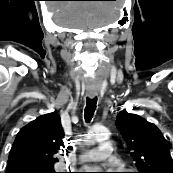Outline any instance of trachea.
Masks as SVG:
<instances>
[{
	"label": "trachea",
	"mask_w": 173,
	"mask_h": 173,
	"mask_svg": "<svg viewBox=\"0 0 173 173\" xmlns=\"http://www.w3.org/2000/svg\"><path fill=\"white\" fill-rule=\"evenodd\" d=\"M96 104H97V97L94 98H87L86 99V107L84 110V118L85 121L88 123L91 121L94 112H95V108H96Z\"/></svg>",
	"instance_id": "3493384b"
}]
</instances>
